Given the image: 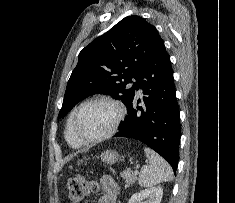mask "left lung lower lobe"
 Returning a JSON list of instances; mask_svg holds the SVG:
<instances>
[{"label":"left lung lower lobe","instance_id":"left-lung-lower-lobe-1","mask_svg":"<svg viewBox=\"0 0 235 203\" xmlns=\"http://www.w3.org/2000/svg\"><path fill=\"white\" fill-rule=\"evenodd\" d=\"M143 90V106L133 97L127 107L128 116L114 137L139 140L155 150L176 173L181 137L179 107L175 95L171 62L163 40L145 65L136 89Z\"/></svg>","mask_w":235,"mask_h":203}]
</instances>
